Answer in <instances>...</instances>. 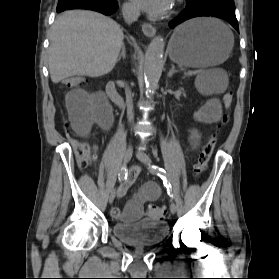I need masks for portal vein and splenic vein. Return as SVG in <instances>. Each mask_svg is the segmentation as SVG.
Instances as JSON below:
<instances>
[{
    "instance_id": "18ae733b",
    "label": "portal vein and splenic vein",
    "mask_w": 279,
    "mask_h": 279,
    "mask_svg": "<svg viewBox=\"0 0 279 279\" xmlns=\"http://www.w3.org/2000/svg\"><path fill=\"white\" fill-rule=\"evenodd\" d=\"M197 73H199V71H190V72H188L187 74H188V75H195V74H197Z\"/></svg>"
}]
</instances>
